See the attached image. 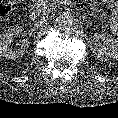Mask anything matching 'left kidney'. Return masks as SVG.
<instances>
[{
	"instance_id": "left-kidney-1",
	"label": "left kidney",
	"mask_w": 118,
	"mask_h": 118,
	"mask_svg": "<svg viewBox=\"0 0 118 118\" xmlns=\"http://www.w3.org/2000/svg\"><path fill=\"white\" fill-rule=\"evenodd\" d=\"M90 49L101 60H118V40L107 33L94 35L90 39Z\"/></svg>"
}]
</instances>
